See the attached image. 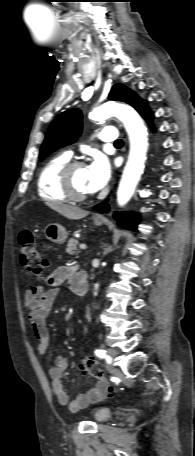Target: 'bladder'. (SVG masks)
Segmentation results:
<instances>
[{"label":"bladder","instance_id":"1","mask_svg":"<svg viewBox=\"0 0 195 456\" xmlns=\"http://www.w3.org/2000/svg\"><path fill=\"white\" fill-rule=\"evenodd\" d=\"M111 411L106 408H100L95 412V421L97 423H104L111 418Z\"/></svg>","mask_w":195,"mask_h":456}]
</instances>
